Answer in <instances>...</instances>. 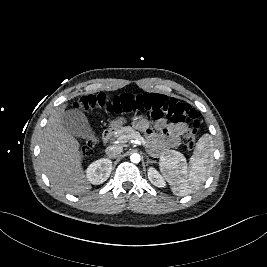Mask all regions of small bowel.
<instances>
[{
	"label": "small bowel",
	"instance_id": "obj_1",
	"mask_svg": "<svg viewBox=\"0 0 267 267\" xmlns=\"http://www.w3.org/2000/svg\"><path fill=\"white\" fill-rule=\"evenodd\" d=\"M136 129L144 131L149 145L153 151L166 150L177 147L182 136L187 132L188 126L183 123L172 124L164 120L154 123V128L145 119H138L134 122Z\"/></svg>",
	"mask_w": 267,
	"mask_h": 267
}]
</instances>
